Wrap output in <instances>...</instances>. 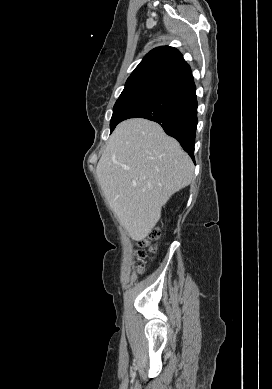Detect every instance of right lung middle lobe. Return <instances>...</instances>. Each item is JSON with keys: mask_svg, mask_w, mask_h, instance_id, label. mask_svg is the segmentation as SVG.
Instances as JSON below:
<instances>
[{"mask_svg": "<svg viewBox=\"0 0 272 389\" xmlns=\"http://www.w3.org/2000/svg\"><path fill=\"white\" fill-rule=\"evenodd\" d=\"M163 85L152 82H137L126 84L124 90L116 101L110 121L111 132L116 125L123 121L125 115L144 99L161 89Z\"/></svg>", "mask_w": 272, "mask_h": 389, "instance_id": "1", "label": "right lung middle lobe"}]
</instances>
